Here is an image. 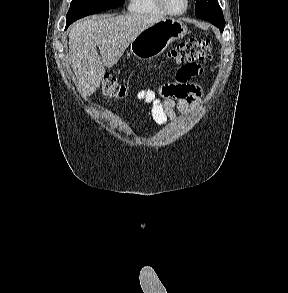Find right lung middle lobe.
<instances>
[{
  "label": "right lung middle lobe",
  "mask_w": 288,
  "mask_h": 293,
  "mask_svg": "<svg viewBox=\"0 0 288 293\" xmlns=\"http://www.w3.org/2000/svg\"><path fill=\"white\" fill-rule=\"evenodd\" d=\"M123 3L124 0H72L67 13V26L82 17L120 7Z\"/></svg>",
  "instance_id": "obj_1"
}]
</instances>
